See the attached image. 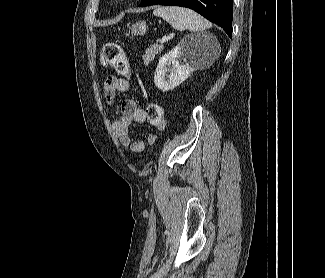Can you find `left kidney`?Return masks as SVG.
Wrapping results in <instances>:
<instances>
[{"label":"left kidney","instance_id":"left-kidney-1","mask_svg":"<svg viewBox=\"0 0 325 278\" xmlns=\"http://www.w3.org/2000/svg\"><path fill=\"white\" fill-rule=\"evenodd\" d=\"M201 46L205 48L206 43L200 44L199 39L186 37L161 57L154 75L155 86L166 92L183 83L196 70L195 57L200 55Z\"/></svg>","mask_w":325,"mask_h":278}]
</instances>
